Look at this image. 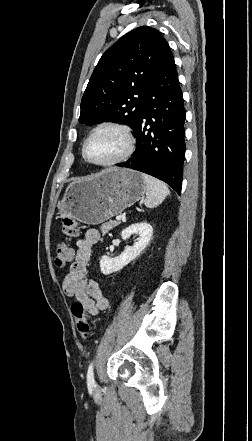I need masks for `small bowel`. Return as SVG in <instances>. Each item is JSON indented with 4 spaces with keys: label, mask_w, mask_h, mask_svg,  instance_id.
<instances>
[{
    "label": "small bowel",
    "mask_w": 252,
    "mask_h": 441,
    "mask_svg": "<svg viewBox=\"0 0 252 441\" xmlns=\"http://www.w3.org/2000/svg\"><path fill=\"white\" fill-rule=\"evenodd\" d=\"M100 233L96 229H89L83 238L77 241V250L73 256V263L65 276L62 289L69 297L80 301L89 315H97L108 307V300L103 295L98 283L87 278L93 246L99 241Z\"/></svg>",
    "instance_id": "obj_1"
}]
</instances>
